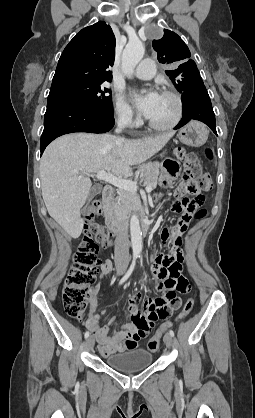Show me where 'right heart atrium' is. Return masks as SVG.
I'll use <instances>...</instances> for the list:
<instances>
[{"label":"right heart atrium","mask_w":255,"mask_h":418,"mask_svg":"<svg viewBox=\"0 0 255 418\" xmlns=\"http://www.w3.org/2000/svg\"><path fill=\"white\" fill-rule=\"evenodd\" d=\"M114 112L117 122L125 127H132L136 118L131 106L122 95H117L114 104Z\"/></svg>","instance_id":"d8ad5b80"}]
</instances>
